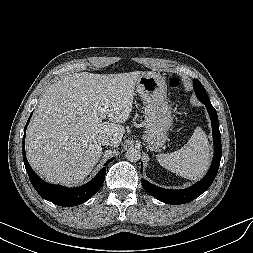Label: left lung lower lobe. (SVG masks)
Here are the masks:
<instances>
[{
  "label": "left lung lower lobe",
  "instance_id": "obj_1",
  "mask_svg": "<svg viewBox=\"0 0 253 253\" xmlns=\"http://www.w3.org/2000/svg\"><path fill=\"white\" fill-rule=\"evenodd\" d=\"M207 111L211 118L212 123V132H213V139H214V157L213 162L210 166V169L206 176L199 181L198 183L194 184L193 186L183 189V190H168L164 188L157 187L146 180H142V185L144 189L154 196L156 199L168 203V204H184L188 203L202 193H204L212 184L213 180L215 179L218 168L220 165V160L222 156V149H221V134L219 131V121L217 117V112L215 108L212 106L210 102H204Z\"/></svg>",
  "mask_w": 253,
  "mask_h": 253
}]
</instances>
